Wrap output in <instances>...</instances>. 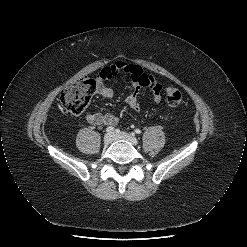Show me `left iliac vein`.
Masks as SVG:
<instances>
[{"mask_svg":"<svg viewBox=\"0 0 247 247\" xmlns=\"http://www.w3.org/2000/svg\"><path fill=\"white\" fill-rule=\"evenodd\" d=\"M113 135H114V140H125L130 142L132 145H138L137 138L126 132H118V133H114Z\"/></svg>","mask_w":247,"mask_h":247,"instance_id":"obj_1","label":"left iliac vein"}]
</instances>
